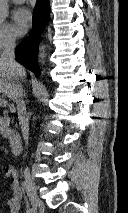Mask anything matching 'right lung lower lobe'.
<instances>
[{"label":"right lung lower lobe","mask_w":128,"mask_h":213,"mask_svg":"<svg viewBox=\"0 0 128 213\" xmlns=\"http://www.w3.org/2000/svg\"><path fill=\"white\" fill-rule=\"evenodd\" d=\"M33 26L35 30L31 32V36L16 47L15 56L17 61L23 64L26 68L33 71L37 76L40 75L37 63V44L38 37L43 27L46 25L50 14L49 0H37L34 9Z\"/></svg>","instance_id":"98d812e1"}]
</instances>
